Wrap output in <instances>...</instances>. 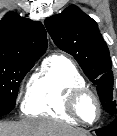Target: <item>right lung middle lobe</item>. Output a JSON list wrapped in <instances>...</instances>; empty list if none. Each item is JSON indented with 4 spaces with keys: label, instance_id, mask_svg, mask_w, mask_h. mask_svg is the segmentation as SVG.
Returning a JSON list of instances; mask_svg holds the SVG:
<instances>
[{
    "label": "right lung middle lobe",
    "instance_id": "obj_1",
    "mask_svg": "<svg viewBox=\"0 0 117 136\" xmlns=\"http://www.w3.org/2000/svg\"><path fill=\"white\" fill-rule=\"evenodd\" d=\"M37 60L0 58V106L15 107L20 82Z\"/></svg>",
    "mask_w": 117,
    "mask_h": 136
}]
</instances>
